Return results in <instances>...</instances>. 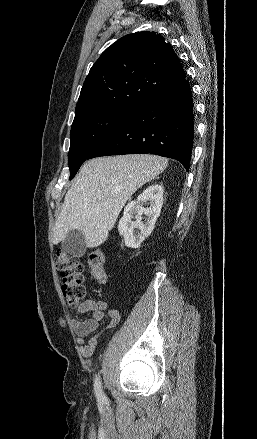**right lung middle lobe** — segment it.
<instances>
[{
	"label": "right lung middle lobe",
	"mask_w": 257,
	"mask_h": 439,
	"mask_svg": "<svg viewBox=\"0 0 257 439\" xmlns=\"http://www.w3.org/2000/svg\"><path fill=\"white\" fill-rule=\"evenodd\" d=\"M130 114L95 111L75 116L70 132V180L100 142Z\"/></svg>",
	"instance_id": "dd1d6c3e"
}]
</instances>
